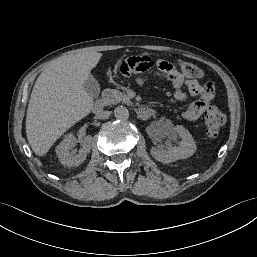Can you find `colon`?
I'll list each match as a JSON object with an SVG mask.
<instances>
[{"label": "colon", "instance_id": "obj_1", "mask_svg": "<svg viewBox=\"0 0 257 257\" xmlns=\"http://www.w3.org/2000/svg\"><path fill=\"white\" fill-rule=\"evenodd\" d=\"M174 69L182 71L186 78L193 77L195 79L202 78L204 76L203 71L190 62L179 61L177 67ZM225 123L223 113L215 106H210L205 112V128L209 137L215 138L220 133Z\"/></svg>", "mask_w": 257, "mask_h": 257}]
</instances>
